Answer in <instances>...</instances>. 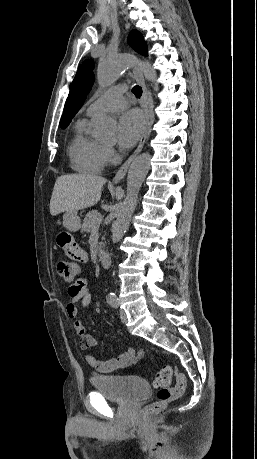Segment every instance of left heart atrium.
I'll return each mask as SVG.
<instances>
[{"label":"left heart atrium","instance_id":"left-heart-atrium-1","mask_svg":"<svg viewBox=\"0 0 257 459\" xmlns=\"http://www.w3.org/2000/svg\"><path fill=\"white\" fill-rule=\"evenodd\" d=\"M144 128L141 114L136 110L124 113L118 122L117 141L122 149L133 147L138 141Z\"/></svg>","mask_w":257,"mask_h":459}]
</instances>
